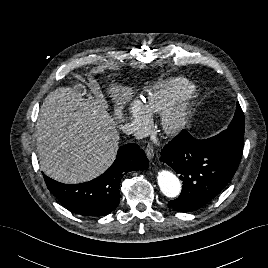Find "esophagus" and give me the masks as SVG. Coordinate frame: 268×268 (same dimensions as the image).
I'll list each match as a JSON object with an SVG mask.
<instances>
[{
  "mask_svg": "<svg viewBox=\"0 0 268 268\" xmlns=\"http://www.w3.org/2000/svg\"><path fill=\"white\" fill-rule=\"evenodd\" d=\"M145 151H146V155H147L148 159H152L153 156H154V149H153V147L151 145H147Z\"/></svg>",
  "mask_w": 268,
  "mask_h": 268,
  "instance_id": "esophagus-1",
  "label": "esophagus"
}]
</instances>
